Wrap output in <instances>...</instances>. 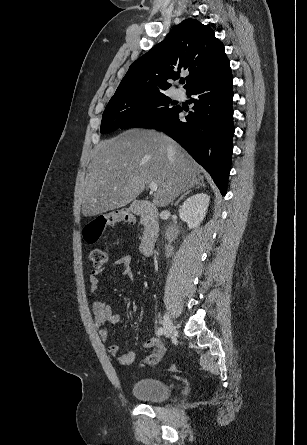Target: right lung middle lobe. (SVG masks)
I'll use <instances>...</instances> for the list:
<instances>
[{"instance_id":"obj_1","label":"right lung middle lobe","mask_w":307,"mask_h":445,"mask_svg":"<svg viewBox=\"0 0 307 445\" xmlns=\"http://www.w3.org/2000/svg\"><path fill=\"white\" fill-rule=\"evenodd\" d=\"M162 94L112 98L102 116L101 133L117 128L150 127L172 114L177 107Z\"/></svg>"}]
</instances>
